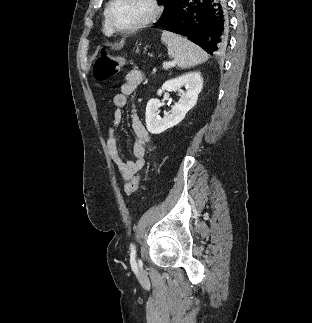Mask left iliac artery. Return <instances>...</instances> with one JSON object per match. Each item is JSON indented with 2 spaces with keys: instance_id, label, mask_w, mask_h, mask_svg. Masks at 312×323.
Segmentation results:
<instances>
[{
  "instance_id": "44dca946",
  "label": "left iliac artery",
  "mask_w": 312,
  "mask_h": 323,
  "mask_svg": "<svg viewBox=\"0 0 312 323\" xmlns=\"http://www.w3.org/2000/svg\"><path fill=\"white\" fill-rule=\"evenodd\" d=\"M135 257H136L135 245L131 244L130 262L132 267H136Z\"/></svg>"
}]
</instances>
